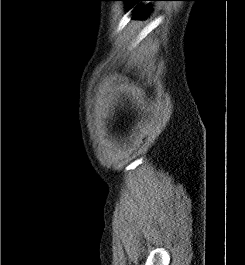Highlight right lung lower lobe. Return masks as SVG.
<instances>
[{"label": "right lung lower lobe", "instance_id": "98d812e1", "mask_svg": "<svg viewBox=\"0 0 245 265\" xmlns=\"http://www.w3.org/2000/svg\"><path fill=\"white\" fill-rule=\"evenodd\" d=\"M122 1H128L130 3H138L139 1H147V0H122ZM148 12H149V8L144 6L140 9L136 10L135 14L133 15V18L134 19H142L148 14Z\"/></svg>", "mask_w": 245, "mask_h": 265}]
</instances>
